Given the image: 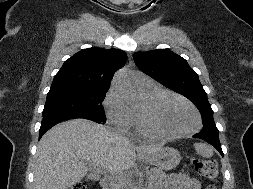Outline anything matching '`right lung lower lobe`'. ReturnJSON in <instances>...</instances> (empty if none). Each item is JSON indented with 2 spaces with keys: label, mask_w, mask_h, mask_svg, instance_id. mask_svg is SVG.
I'll list each match as a JSON object with an SVG mask.
<instances>
[{
  "label": "right lung lower lobe",
  "mask_w": 253,
  "mask_h": 189,
  "mask_svg": "<svg viewBox=\"0 0 253 189\" xmlns=\"http://www.w3.org/2000/svg\"><path fill=\"white\" fill-rule=\"evenodd\" d=\"M73 118H86V119H91L94 120L98 123H101L100 121L92 118H87V117H80V116H72V115H57V116H47L43 117L41 127L39 130V139L43 136V134L48 131L51 127L54 125L68 119H73Z\"/></svg>",
  "instance_id": "obj_1"
}]
</instances>
